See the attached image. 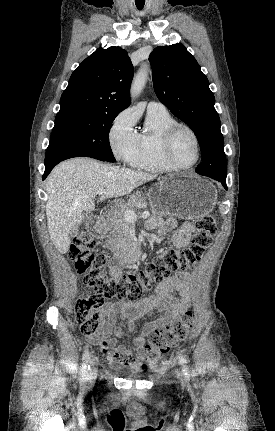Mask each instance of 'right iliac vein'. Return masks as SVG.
Returning <instances> with one entry per match:
<instances>
[{"label":"right iliac vein","instance_id":"63e3f726","mask_svg":"<svg viewBox=\"0 0 275 431\" xmlns=\"http://www.w3.org/2000/svg\"><path fill=\"white\" fill-rule=\"evenodd\" d=\"M96 375H97L96 361H95V359H92L90 361L89 377L93 378Z\"/></svg>","mask_w":275,"mask_h":431}]
</instances>
